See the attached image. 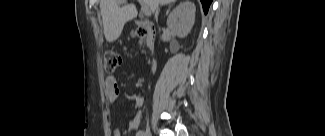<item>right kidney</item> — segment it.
<instances>
[{"label":"right kidney","instance_id":"ca27d5eb","mask_svg":"<svg viewBox=\"0 0 325 136\" xmlns=\"http://www.w3.org/2000/svg\"><path fill=\"white\" fill-rule=\"evenodd\" d=\"M195 11L196 8L192 1H183L169 14L168 28L179 38L186 37L194 25Z\"/></svg>","mask_w":325,"mask_h":136}]
</instances>
